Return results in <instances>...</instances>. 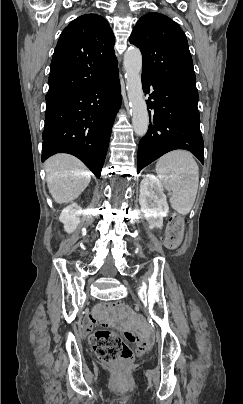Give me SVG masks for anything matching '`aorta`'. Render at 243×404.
Masks as SVG:
<instances>
[{
  "instance_id": "obj_1",
  "label": "aorta",
  "mask_w": 243,
  "mask_h": 404,
  "mask_svg": "<svg viewBox=\"0 0 243 404\" xmlns=\"http://www.w3.org/2000/svg\"><path fill=\"white\" fill-rule=\"evenodd\" d=\"M124 70L133 130L137 136H145L149 126V116L141 84L142 56L138 48L130 46L126 50Z\"/></svg>"
}]
</instances>
